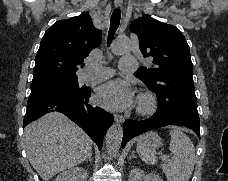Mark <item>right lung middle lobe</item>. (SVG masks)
Wrapping results in <instances>:
<instances>
[{
	"label": "right lung middle lobe",
	"instance_id": "obj_1",
	"mask_svg": "<svg viewBox=\"0 0 228 181\" xmlns=\"http://www.w3.org/2000/svg\"><path fill=\"white\" fill-rule=\"evenodd\" d=\"M77 76L50 77L38 80H32L31 90L44 87H57L69 90L75 93L82 92L83 87H79Z\"/></svg>",
	"mask_w": 228,
	"mask_h": 181
}]
</instances>
